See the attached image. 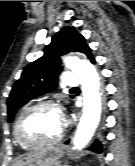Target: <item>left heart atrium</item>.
<instances>
[{
    "label": "left heart atrium",
    "instance_id": "left-heart-atrium-1",
    "mask_svg": "<svg viewBox=\"0 0 135 166\" xmlns=\"http://www.w3.org/2000/svg\"><path fill=\"white\" fill-rule=\"evenodd\" d=\"M65 123V120L63 119V124Z\"/></svg>",
    "mask_w": 135,
    "mask_h": 166
}]
</instances>
